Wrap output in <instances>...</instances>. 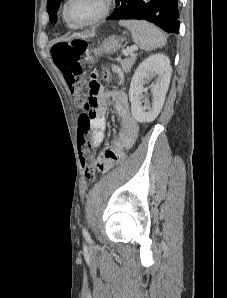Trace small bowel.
<instances>
[{"label": "small bowel", "mask_w": 227, "mask_h": 298, "mask_svg": "<svg viewBox=\"0 0 227 298\" xmlns=\"http://www.w3.org/2000/svg\"><path fill=\"white\" fill-rule=\"evenodd\" d=\"M101 68H110V63H101ZM97 77H101L100 69L90 72L91 82H88L89 103H95L91 104V109L94 110H89V115H95L91 118L90 124L92 149L97 148L104 141L107 113L112 107L121 120L118 136L113 139L100 157L94 159L96 169L105 172L115 167V162H122L124 151L131 148L138 137L139 124L132 116L126 93L121 90L104 91Z\"/></svg>", "instance_id": "obj_1"}]
</instances>
